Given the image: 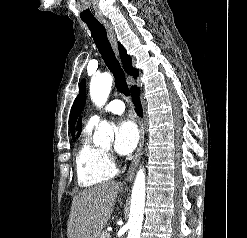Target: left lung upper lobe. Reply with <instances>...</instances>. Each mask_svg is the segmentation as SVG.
Returning a JSON list of instances; mask_svg holds the SVG:
<instances>
[{"instance_id":"5c2ea615","label":"left lung upper lobe","mask_w":247,"mask_h":238,"mask_svg":"<svg viewBox=\"0 0 247 238\" xmlns=\"http://www.w3.org/2000/svg\"><path fill=\"white\" fill-rule=\"evenodd\" d=\"M85 93H86V81L83 79L79 86V94L76 97L73 106L71 108L70 117H69V129L72 135H74L75 122L80 112L82 111L85 105Z\"/></svg>"}]
</instances>
